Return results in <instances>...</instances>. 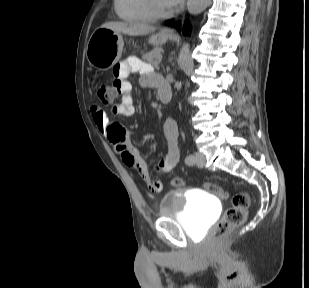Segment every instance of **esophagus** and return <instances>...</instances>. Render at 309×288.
Returning <instances> with one entry per match:
<instances>
[{"label": "esophagus", "mask_w": 309, "mask_h": 288, "mask_svg": "<svg viewBox=\"0 0 309 288\" xmlns=\"http://www.w3.org/2000/svg\"><path fill=\"white\" fill-rule=\"evenodd\" d=\"M172 33H173V31L170 28H166V29L162 30V34H164V35H171Z\"/></svg>", "instance_id": "34e87169"}]
</instances>
